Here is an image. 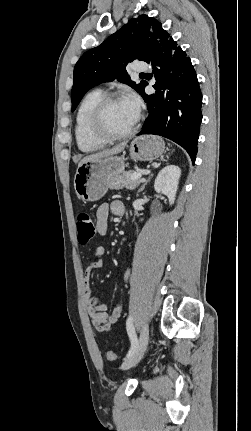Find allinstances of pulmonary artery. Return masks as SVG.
I'll return each instance as SVG.
<instances>
[{"label": "pulmonary artery", "mask_w": 251, "mask_h": 431, "mask_svg": "<svg viewBox=\"0 0 251 431\" xmlns=\"http://www.w3.org/2000/svg\"><path fill=\"white\" fill-rule=\"evenodd\" d=\"M150 66L146 62H136L133 65V70L135 72H145L148 71Z\"/></svg>", "instance_id": "e3ab8cb5"}]
</instances>
